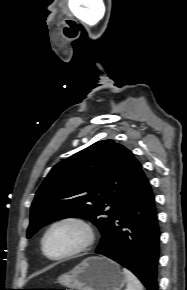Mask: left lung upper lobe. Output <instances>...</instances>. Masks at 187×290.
I'll return each instance as SVG.
<instances>
[{"mask_svg":"<svg viewBox=\"0 0 187 290\" xmlns=\"http://www.w3.org/2000/svg\"><path fill=\"white\" fill-rule=\"evenodd\" d=\"M145 177L140 163L121 144H92L47 175L31 206L27 237L53 221L80 217L99 228L102 243L121 202Z\"/></svg>","mask_w":187,"mask_h":290,"instance_id":"5c2ea615","label":"left lung upper lobe"}]
</instances>
